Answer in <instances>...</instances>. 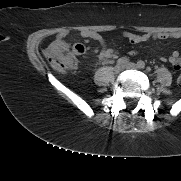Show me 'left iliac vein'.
I'll list each match as a JSON object with an SVG mask.
<instances>
[{
    "mask_svg": "<svg viewBox=\"0 0 181 181\" xmlns=\"http://www.w3.org/2000/svg\"><path fill=\"white\" fill-rule=\"evenodd\" d=\"M125 68L127 69H134V68H138V66L134 63H128Z\"/></svg>",
    "mask_w": 181,
    "mask_h": 181,
    "instance_id": "left-iliac-vein-1",
    "label": "left iliac vein"
}]
</instances>
